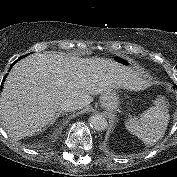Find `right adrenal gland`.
I'll list each match as a JSON object with an SVG mask.
<instances>
[{
  "instance_id": "2a0ac1e0",
  "label": "right adrenal gland",
  "mask_w": 177,
  "mask_h": 177,
  "mask_svg": "<svg viewBox=\"0 0 177 177\" xmlns=\"http://www.w3.org/2000/svg\"><path fill=\"white\" fill-rule=\"evenodd\" d=\"M61 115V113H57V115H56V119L59 117ZM54 123V122H53ZM52 123V124H53Z\"/></svg>"
}]
</instances>
